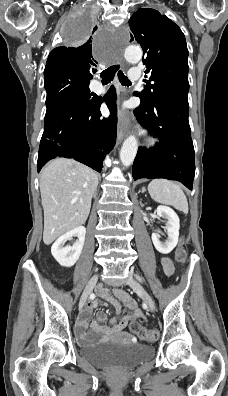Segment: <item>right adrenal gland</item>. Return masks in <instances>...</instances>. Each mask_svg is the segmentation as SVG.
Segmentation results:
<instances>
[{"label": "right adrenal gland", "instance_id": "1", "mask_svg": "<svg viewBox=\"0 0 228 396\" xmlns=\"http://www.w3.org/2000/svg\"><path fill=\"white\" fill-rule=\"evenodd\" d=\"M96 195H97V191L94 193L93 197L95 198V197H96Z\"/></svg>", "mask_w": 228, "mask_h": 396}]
</instances>
